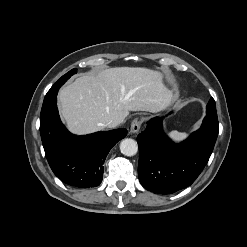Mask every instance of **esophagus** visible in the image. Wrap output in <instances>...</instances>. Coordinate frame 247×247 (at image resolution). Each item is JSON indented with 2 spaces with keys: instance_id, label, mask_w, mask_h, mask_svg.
Here are the masks:
<instances>
[{
  "instance_id": "34e87169",
  "label": "esophagus",
  "mask_w": 247,
  "mask_h": 247,
  "mask_svg": "<svg viewBox=\"0 0 247 247\" xmlns=\"http://www.w3.org/2000/svg\"><path fill=\"white\" fill-rule=\"evenodd\" d=\"M142 123H143L142 119L135 118L131 123V127H130L131 132L137 133L140 130Z\"/></svg>"
}]
</instances>
